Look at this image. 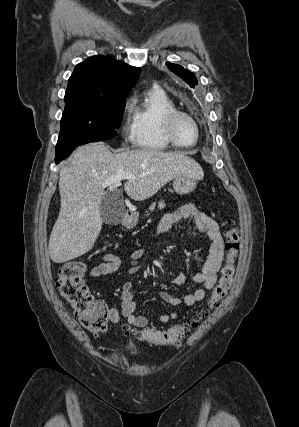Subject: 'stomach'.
<instances>
[{
    "label": "stomach",
    "mask_w": 299,
    "mask_h": 427,
    "mask_svg": "<svg viewBox=\"0 0 299 427\" xmlns=\"http://www.w3.org/2000/svg\"><path fill=\"white\" fill-rule=\"evenodd\" d=\"M196 178L191 176H179L174 178L173 188L178 195H187L193 192L196 188ZM138 222V216H133L127 221L128 227H133Z\"/></svg>",
    "instance_id": "0dacf381"
}]
</instances>
